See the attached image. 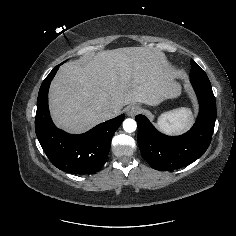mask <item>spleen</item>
I'll return each mask as SVG.
<instances>
[{
	"label": "spleen",
	"mask_w": 236,
	"mask_h": 236,
	"mask_svg": "<svg viewBox=\"0 0 236 236\" xmlns=\"http://www.w3.org/2000/svg\"><path fill=\"white\" fill-rule=\"evenodd\" d=\"M192 119L191 110L181 107L161 114L157 125L164 133L179 134L189 127Z\"/></svg>",
	"instance_id": "3e777b00"
}]
</instances>
